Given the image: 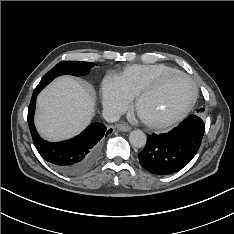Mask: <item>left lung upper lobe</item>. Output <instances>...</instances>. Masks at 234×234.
<instances>
[{"label": "left lung upper lobe", "instance_id": "1", "mask_svg": "<svg viewBox=\"0 0 234 234\" xmlns=\"http://www.w3.org/2000/svg\"><path fill=\"white\" fill-rule=\"evenodd\" d=\"M203 111H204V108H201V109H199V110H197V113H198V115H202V113H203Z\"/></svg>", "mask_w": 234, "mask_h": 234}]
</instances>
